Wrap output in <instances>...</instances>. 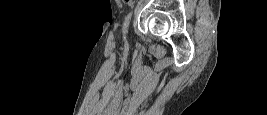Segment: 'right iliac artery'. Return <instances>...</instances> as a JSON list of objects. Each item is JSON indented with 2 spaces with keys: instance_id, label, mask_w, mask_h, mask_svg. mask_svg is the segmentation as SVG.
<instances>
[{
  "instance_id": "82829eb1",
  "label": "right iliac artery",
  "mask_w": 267,
  "mask_h": 115,
  "mask_svg": "<svg viewBox=\"0 0 267 115\" xmlns=\"http://www.w3.org/2000/svg\"><path fill=\"white\" fill-rule=\"evenodd\" d=\"M131 15H132V12H130V13L128 14V16L126 17V20H125V23H124V26H123V33H124V34L127 32V29H128V26H129V22H130ZM124 39H125V36H124Z\"/></svg>"
}]
</instances>
